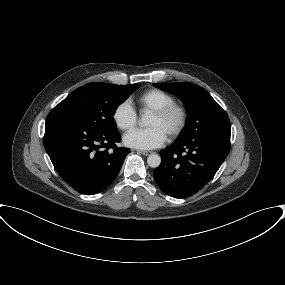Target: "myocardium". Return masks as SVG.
<instances>
[{
	"label": "myocardium",
	"instance_id": "obj_1",
	"mask_svg": "<svg viewBox=\"0 0 285 285\" xmlns=\"http://www.w3.org/2000/svg\"><path fill=\"white\" fill-rule=\"evenodd\" d=\"M152 114L160 117L167 118L171 115L177 116L176 125L167 133L169 139H175L184 131L188 122V110L180 103L173 102L159 109L152 111Z\"/></svg>",
	"mask_w": 285,
	"mask_h": 285
}]
</instances>
